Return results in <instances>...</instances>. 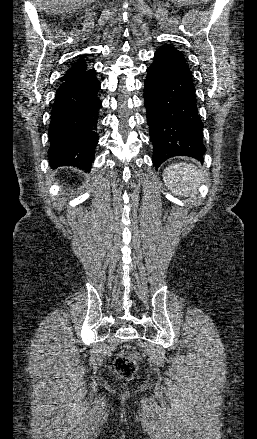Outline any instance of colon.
Here are the masks:
<instances>
[{"label": "colon", "mask_w": 257, "mask_h": 439, "mask_svg": "<svg viewBox=\"0 0 257 439\" xmlns=\"http://www.w3.org/2000/svg\"><path fill=\"white\" fill-rule=\"evenodd\" d=\"M138 361L139 356L135 352L119 355L114 361V370L122 378H131L137 370Z\"/></svg>", "instance_id": "obj_1"}]
</instances>
